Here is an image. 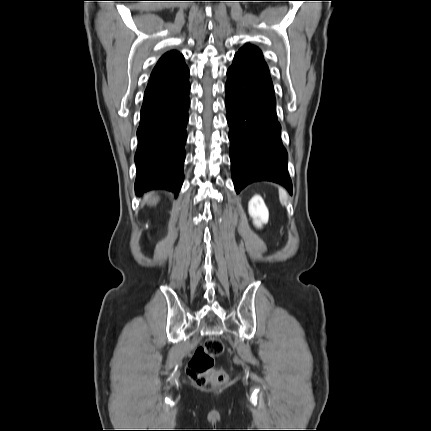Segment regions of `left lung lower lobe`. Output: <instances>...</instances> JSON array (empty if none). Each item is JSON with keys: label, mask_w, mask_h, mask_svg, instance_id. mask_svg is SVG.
Instances as JSON below:
<instances>
[{"label": "left lung lower lobe", "mask_w": 431, "mask_h": 431, "mask_svg": "<svg viewBox=\"0 0 431 431\" xmlns=\"http://www.w3.org/2000/svg\"><path fill=\"white\" fill-rule=\"evenodd\" d=\"M227 77L225 104L236 192L252 182L267 180L292 193L270 74L232 64Z\"/></svg>", "instance_id": "1"}]
</instances>
